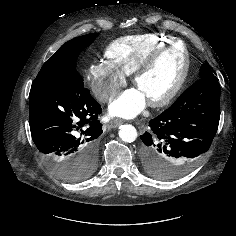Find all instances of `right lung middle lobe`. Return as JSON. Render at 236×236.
Segmentation results:
<instances>
[{"label":"right lung middle lobe","instance_id":"1","mask_svg":"<svg viewBox=\"0 0 236 236\" xmlns=\"http://www.w3.org/2000/svg\"><path fill=\"white\" fill-rule=\"evenodd\" d=\"M97 35L98 33H91L66 42L44 63L35 80H58L74 76L83 81L75 68L76 59L79 53L88 47ZM48 164L64 180L80 181L92 174L96 166V160L87 158L79 163L53 161Z\"/></svg>","mask_w":236,"mask_h":236}]
</instances>
